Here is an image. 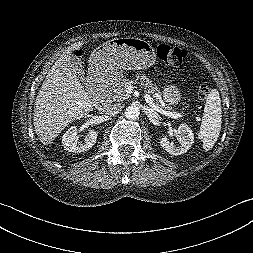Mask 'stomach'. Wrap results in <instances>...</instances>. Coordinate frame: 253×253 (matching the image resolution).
<instances>
[{
	"instance_id": "obj_1",
	"label": "stomach",
	"mask_w": 253,
	"mask_h": 253,
	"mask_svg": "<svg viewBox=\"0 0 253 253\" xmlns=\"http://www.w3.org/2000/svg\"><path fill=\"white\" fill-rule=\"evenodd\" d=\"M156 53L152 45L139 38H114L99 46L91 55L90 72L93 76H118L123 70H141L152 66ZM163 99L169 105H177L181 99L180 89L166 83L162 89Z\"/></svg>"
}]
</instances>
